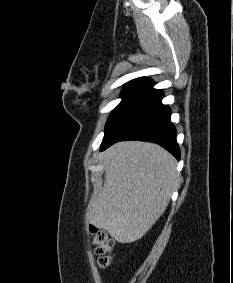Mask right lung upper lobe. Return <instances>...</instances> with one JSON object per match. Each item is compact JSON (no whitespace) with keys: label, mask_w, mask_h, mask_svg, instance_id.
<instances>
[{"label":"right lung upper lobe","mask_w":233,"mask_h":283,"mask_svg":"<svg viewBox=\"0 0 233 283\" xmlns=\"http://www.w3.org/2000/svg\"><path fill=\"white\" fill-rule=\"evenodd\" d=\"M129 82H150L151 84L153 83V81L150 78H148V77L136 78V79H133V80H131ZM129 82H127V83H129Z\"/></svg>","instance_id":"1"}]
</instances>
